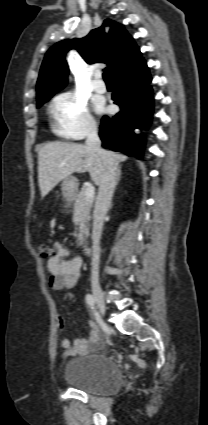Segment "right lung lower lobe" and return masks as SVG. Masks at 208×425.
<instances>
[{"label": "right lung lower lobe", "mask_w": 208, "mask_h": 425, "mask_svg": "<svg viewBox=\"0 0 208 425\" xmlns=\"http://www.w3.org/2000/svg\"><path fill=\"white\" fill-rule=\"evenodd\" d=\"M112 80L115 88L112 99L121 110L111 119L103 117L99 132L102 147L142 157L145 142L134 129L148 125L153 110L152 89L148 86L151 77L145 60L142 58Z\"/></svg>", "instance_id": "98d812e1"}]
</instances>
